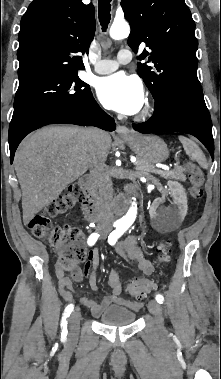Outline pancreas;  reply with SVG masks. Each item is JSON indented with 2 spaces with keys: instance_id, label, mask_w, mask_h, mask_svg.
I'll return each instance as SVG.
<instances>
[{
  "instance_id": "cf45deb5",
  "label": "pancreas",
  "mask_w": 221,
  "mask_h": 379,
  "mask_svg": "<svg viewBox=\"0 0 221 379\" xmlns=\"http://www.w3.org/2000/svg\"><path fill=\"white\" fill-rule=\"evenodd\" d=\"M136 167H143V168H138V170L141 173H147L150 172L149 170L154 169L153 165H150L146 163L144 160L138 159L137 162L135 163ZM185 168L182 166H176L174 170L172 171H162L159 174L161 177L165 179H175V180H181L185 181L186 180V175L184 174Z\"/></svg>"
}]
</instances>
